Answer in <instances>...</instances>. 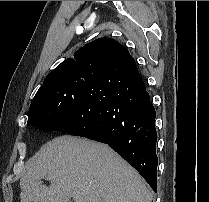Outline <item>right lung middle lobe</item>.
Listing matches in <instances>:
<instances>
[{
    "mask_svg": "<svg viewBox=\"0 0 209 202\" xmlns=\"http://www.w3.org/2000/svg\"><path fill=\"white\" fill-rule=\"evenodd\" d=\"M94 79L93 75L85 73L50 79L33 98L28 113L29 125L47 132L61 130L79 110Z\"/></svg>",
    "mask_w": 209,
    "mask_h": 202,
    "instance_id": "obj_1",
    "label": "right lung middle lobe"
}]
</instances>
